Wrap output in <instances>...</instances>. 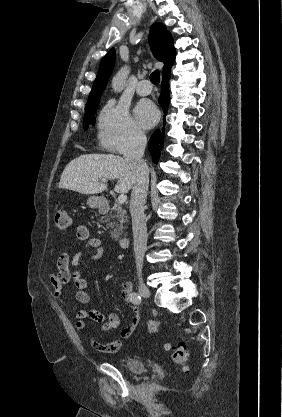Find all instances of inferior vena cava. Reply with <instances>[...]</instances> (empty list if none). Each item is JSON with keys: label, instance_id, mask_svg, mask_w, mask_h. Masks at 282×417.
Returning <instances> with one entry per match:
<instances>
[{"label": "inferior vena cava", "instance_id": "inferior-vena-cava-1", "mask_svg": "<svg viewBox=\"0 0 282 417\" xmlns=\"http://www.w3.org/2000/svg\"><path fill=\"white\" fill-rule=\"evenodd\" d=\"M147 138L143 132L133 130L124 158L131 164L134 182L130 198V213L132 217V229L134 239V255L138 279H142L144 255L147 251V229L146 217L144 215V204L149 186V170L147 162L142 160Z\"/></svg>", "mask_w": 282, "mask_h": 417}]
</instances>
